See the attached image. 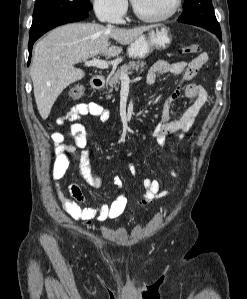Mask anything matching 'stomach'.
I'll list each match as a JSON object with an SVG mask.
<instances>
[{"label":"stomach","mask_w":247,"mask_h":299,"mask_svg":"<svg viewBox=\"0 0 247 299\" xmlns=\"http://www.w3.org/2000/svg\"><path fill=\"white\" fill-rule=\"evenodd\" d=\"M172 42V34L169 27L156 25L148 30L147 35L138 37L128 47L127 55L133 59H144L154 50L167 49Z\"/></svg>","instance_id":"stomach-1"}]
</instances>
